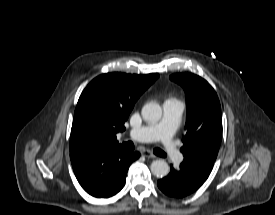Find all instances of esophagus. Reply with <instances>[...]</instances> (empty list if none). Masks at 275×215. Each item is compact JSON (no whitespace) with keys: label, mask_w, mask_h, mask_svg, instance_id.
<instances>
[{"label":"esophagus","mask_w":275,"mask_h":215,"mask_svg":"<svg viewBox=\"0 0 275 215\" xmlns=\"http://www.w3.org/2000/svg\"><path fill=\"white\" fill-rule=\"evenodd\" d=\"M142 156L146 157V158H155L156 156L149 150H143L141 152Z\"/></svg>","instance_id":"1"}]
</instances>
